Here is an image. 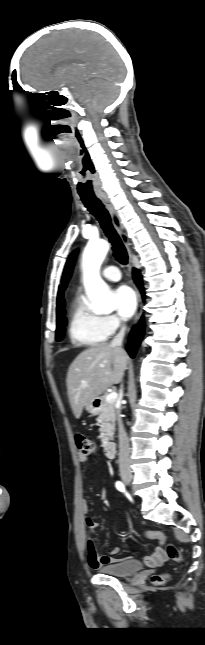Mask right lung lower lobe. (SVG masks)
Here are the masks:
<instances>
[{
  "instance_id": "98d812e1",
  "label": "right lung lower lobe",
  "mask_w": 205,
  "mask_h": 645,
  "mask_svg": "<svg viewBox=\"0 0 205 645\" xmlns=\"http://www.w3.org/2000/svg\"><path fill=\"white\" fill-rule=\"evenodd\" d=\"M133 278L138 288L141 290L142 294H144L142 277L139 270L133 269ZM144 330H145V323H144V318L142 317L139 323L131 331L130 339L127 344V351L132 358L135 356V353L140 345V342L144 335Z\"/></svg>"
}]
</instances>
